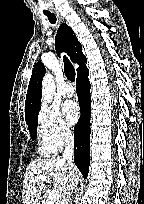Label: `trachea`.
Returning a JSON list of instances; mask_svg holds the SVG:
<instances>
[{
    "label": "trachea",
    "instance_id": "trachea-1",
    "mask_svg": "<svg viewBox=\"0 0 144 204\" xmlns=\"http://www.w3.org/2000/svg\"><path fill=\"white\" fill-rule=\"evenodd\" d=\"M45 15L48 17L49 21L52 24L56 23V17L54 14L47 12L45 13ZM63 62H64V72L66 77L72 82L75 81V69L73 65L71 64V62L68 60L66 56H64Z\"/></svg>",
    "mask_w": 144,
    "mask_h": 204
}]
</instances>
